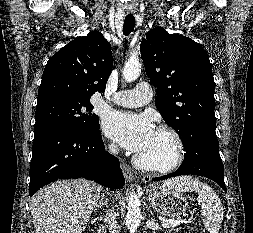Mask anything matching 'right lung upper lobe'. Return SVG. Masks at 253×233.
<instances>
[{"label": "right lung upper lobe", "instance_id": "obj_1", "mask_svg": "<svg viewBox=\"0 0 253 233\" xmlns=\"http://www.w3.org/2000/svg\"><path fill=\"white\" fill-rule=\"evenodd\" d=\"M113 66L110 43L98 31L78 37L47 62L38 103L52 97L89 99L103 93Z\"/></svg>", "mask_w": 253, "mask_h": 233}]
</instances>
